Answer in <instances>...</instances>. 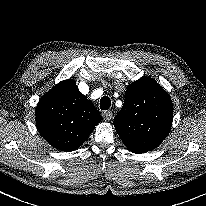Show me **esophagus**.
Instances as JSON below:
<instances>
[{
	"label": "esophagus",
	"instance_id": "obj_1",
	"mask_svg": "<svg viewBox=\"0 0 206 206\" xmlns=\"http://www.w3.org/2000/svg\"><path fill=\"white\" fill-rule=\"evenodd\" d=\"M102 115L106 121H110L112 119L113 113L112 111H104Z\"/></svg>",
	"mask_w": 206,
	"mask_h": 206
}]
</instances>
